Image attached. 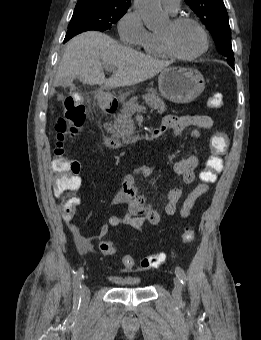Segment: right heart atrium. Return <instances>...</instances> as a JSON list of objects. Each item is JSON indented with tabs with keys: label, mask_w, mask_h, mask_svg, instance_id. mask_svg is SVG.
Listing matches in <instances>:
<instances>
[{
	"label": "right heart atrium",
	"mask_w": 261,
	"mask_h": 340,
	"mask_svg": "<svg viewBox=\"0 0 261 340\" xmlns=\"http://www.w3.org/2000/svg\"><path fill=\"white\" fill-rule=\"evenodd\" d=\"M118 32L121 40L129 45H140L147 36L148 31L135 7L129 8L120 18Z\"/></svg>",
	"instance_id": "right-heart-atrium-1"
}]
</instances>
